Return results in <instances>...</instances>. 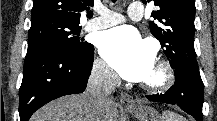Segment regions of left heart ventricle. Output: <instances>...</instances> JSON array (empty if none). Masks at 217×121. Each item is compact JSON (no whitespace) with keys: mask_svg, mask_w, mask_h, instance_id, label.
Masks as SVG:
<instances>
[{"mask_svg":"<svg viewBox=\"0 0 217 121\" xmlns=\"http://www.w3.org/2000/svg\"><path fill=\"white\" fill-rule=\"evenodd\" d=\"M155 74H156V70H155V66H154L153 70L151 71V73H150L149 77H148L146 80H148V79H150V78L154 77V76H155Z\"/></svg>","mask_w":217,"mask_h":121,"instance_id":"obj_1","label":"left heart ventricle"}]
</instances>
